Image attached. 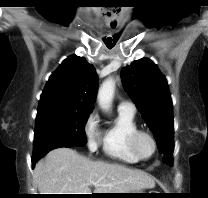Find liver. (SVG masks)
<instances>
[{
  "label": "liver",
  "instance_id": "obj_1",
  "mask_svg": "<svg viewBox=\"0 0 208 198\" xmlns=\"http://www.w3.org/2000/svg\"><path fill=\"white\" fill-rule=\"evenodd\" d=\"M34 181L40 194H92L90 185L94 193H128L155 186L142 171L92 161L70 148L55 149L40 160L34 168Z\"/></svg>",
  "mask_w": 208,
  "mask_h": 198
}]
</instances>
